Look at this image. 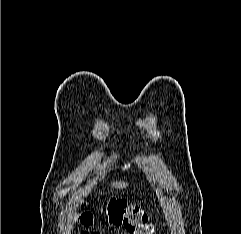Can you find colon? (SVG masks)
<instances>
[{
	"label": "colon",
	"mask_w": 241,
	"mask_h": 234,
	"mask_svg": "<svg viewBox=\"0 0 241 234\" xmlns=\"http://www.w3.org/2000/svg\"><path fill=\"white\" fill-rule=\"evenodd\" d=\"M82 224L91 225L93 216L85 212L80 218ZM106 220L109 224L123 226L129 234H152L153 226L147 214L136 206H128L125 202L112 199L106 209ZM93 234V233H90Z\"/></svg>",
	"instance_id": "obj_1"
}]
</instances>
